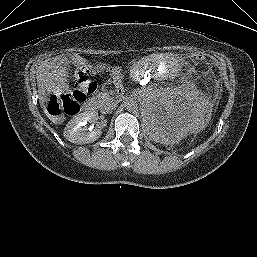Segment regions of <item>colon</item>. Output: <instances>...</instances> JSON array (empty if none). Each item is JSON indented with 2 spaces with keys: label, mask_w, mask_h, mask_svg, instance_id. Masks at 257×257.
<instances>
[{
  "label": "colon",
  "mask_w": 257,
  "mask_h": 257,
  "mask_svg": "<svg viewBox=\"0 0 257 257\" xmlns=\"http://www.w3.org/2000/svg\"><path fill=\"white\" fill-rule=\"evenodd\" d=\"M190 58L192 61L201 62L205 60V55L200 52H193L190 54ZM94 72L93 67H82L72 88L65 89L59 95H51L47 102L49 113L53 116H59L62 113L76 114L87 95L96 89V83L92 80Z\"/></svg>",
  "instance_id": "colon-1"
}]
</instances>
